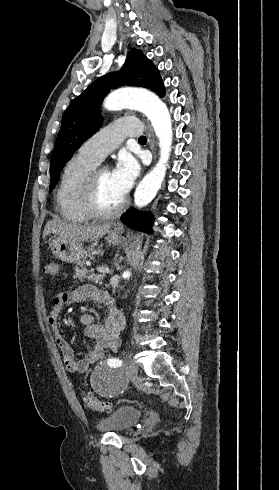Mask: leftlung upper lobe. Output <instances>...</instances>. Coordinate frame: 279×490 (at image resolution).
Here are the masks:
<instances>
[{
	"label": "left lung upper lobe",
	"instance_id": "left-lung-upper-lobe-1",
	"mask_svg": "<svg viewBox=\"0 0 279 490\" xmlns=\"http://www.w3.org/2000/svg\"><path fill=\"white\" fill-rule=\"evenodd\" d=\"M124 85L149 88L160 97L165 95L158 69L141 51L132 49L119 72L97 79L66 109L51 156L49 190L57 183L63 165L98 130L102 121L98 108L103 98L111 88Z\"/></svg>",
	"mask_w": 279,
	"mask_h": 490
}]
</instances>
